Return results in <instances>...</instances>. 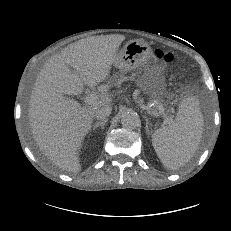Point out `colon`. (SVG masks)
<instances>
[{"instance_id":"1","label":"colon","mask_w":231,"mask_h":231,"mask_svg":"<svg viewBox=\"0 0 231 231\" xmlns=\"http://www.w3.org/2000/svg\"><path fill=\"white\" fill-rule=\"evenodd\" d=\"M155 58L157 60L162 59L166 64H170L174 61L175 57L172 53H164L162 51H156Z\"/></svg>"}]
</instances>
